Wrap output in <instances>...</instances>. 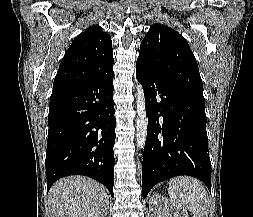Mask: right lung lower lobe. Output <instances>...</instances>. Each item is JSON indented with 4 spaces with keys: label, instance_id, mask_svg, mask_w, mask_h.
Here are the masks:
<instances>
[{
    "label": "right lung lower lobe",
    "instance_id": "1",
    "mask_svg": "<svg viewBox=\"0 0 253 217\" xmlns=\"http://www.w3.org/2000/svg\"><path fill=\"white\" fill-rule=\"evenodd\" d=\"M113 68L81 86L52 93L46 152L47 190L64 176L85 175L113 196Z\"/></svg>",
    "mask_w": 253,
    "mask_h": 217
}]
</instances>
